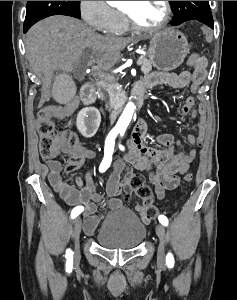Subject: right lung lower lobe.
I'll use <instances>...</instances> for the list:
<instances>
[{"instance_id":"98d812e1","label":"right lung lower lobe","mask_w":237,"mask_h":300,"mask_svg":"<svg viewBox=\"0 0 237 300\" xmlns=\"http://www.w3.org/2000/svg\"><path fill=\"white\" fill-rule=\"evenodd\" d=\"M32 25H24V33H26L28 31V29L31 27Z\"/></svg>"}]
</instances>
